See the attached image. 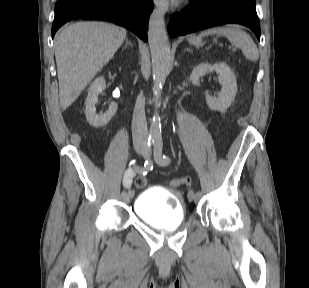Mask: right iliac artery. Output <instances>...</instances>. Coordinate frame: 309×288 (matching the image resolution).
I'll return each mask as SVG.
<instances>
[{"mask_svg":"<svg viewBox=\"0 0 309 288\" xmlns=\"http://www.w3.org/2000/svg\"><path fill=\"white\" fill-rule=\"evenodd\" d=\"M154 144V139H149L148 140V147L151 148V146ZM144 169L147 171H151L153 168V162L150 157H148L143 165ZM125 194V192H124ZM128 194L129 197H134V189L133 188H128Z\"/></svg>","mask_w":309,"mask_h":288,"instance_id":"obj_1","label":"right iliac artery"}]
</instances>
